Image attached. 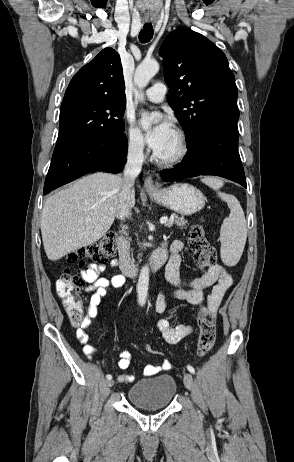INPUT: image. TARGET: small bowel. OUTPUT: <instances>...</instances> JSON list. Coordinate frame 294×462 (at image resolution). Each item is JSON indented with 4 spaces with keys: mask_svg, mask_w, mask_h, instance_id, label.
Returning <instances> with one entry per match:
<instances>
[{
    "mask_svg": "<svg viewBox=\"0 0 294 462\" xmlns=\"http://www.w3.org/2000/svg\"><path fill=\"white\" fill-rule=\"evenodd\" d=\"M185 251V245L180 240H174L170 245V258L166 266V280L170 288L161 292L154 301V310L156 313H163L170 300L186 301L193 305L204 302V290L213 286L212 292L208 297L207 304L214 312L219 307L225 292L232 285L231 275L220 265H214L210 271L202 276L183 279L180 274L181 254ZM110 266L118 267L117 260H112ZM106 269L105 264H90L81 271V277L87 284L85 291L91 293L89 303L86 308V316L83 323L76 329V336L83 344V352L88 358H92L96 349L89 343L90 325L97 318L98 306L102 298L111 288H119L125 284V277L121 274L114 275L110 278L101 276ZM157 326L164 340L169 344H177L184 337L194 331V328L188 324L170 326L166 319H159ZM130 366V352L123 349L120 353L118 367L123 372L118 376L119 382H132L134 376L125 372ZM170 368L168 360L159 364H149L144 368L145 376H154Z\"/></svg>",
    "mask_w": 294,
    "mask_h": 462,
    "instance_id": "small-bowel-1",
    "label": "small bowel"
}]
</instances>
